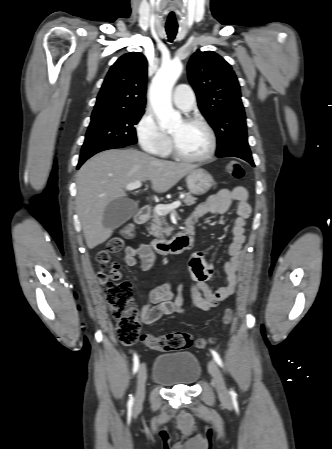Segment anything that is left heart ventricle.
I'll return each mask as SVG.
<instances>
[{
  "mask_svg": "<svg viewBox=\"0 0 332 449\" xmlns=\"http://www.w3.org/2000/svg\"><path fill=\"white\" fill-rule=\"evenodd\" d=\"M178 149L189 156L203 155L209 147L206 131L197 124L179 121L170 131Z\"/></svg>",
  "mask_w": 332,
  "mask_h": 449,
  "instance_id": "1",
  "label": "left heart ventricle"
}]
</instances>
